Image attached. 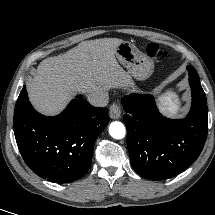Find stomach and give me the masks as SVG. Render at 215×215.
Listing matches in <instances>:
<instances>
[{"label":"stomach","mask_w":215,"mask_h":215,"mask_svg":"<svg viewBox=\"0 0 215 215\" xmlns=\"http://www.w3.org/2000/svg\"><path fill=\"white\" fill-rule=\"evenodd\" d=\"M119 62L128 70L131 77L143 81L151 76L154 63L150 57L140 52L139 49L128 41H123L115 51ZM170 113H175L168 108Z\"/></svg>","instance_id":"1"}]
</instances>
